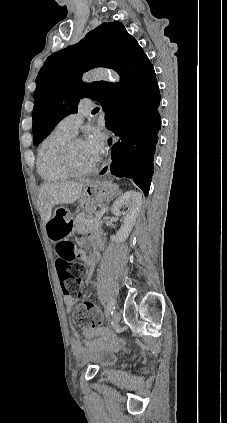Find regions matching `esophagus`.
Here are the masks:
<instances>
[{"label": "esophagus", "instance_id": "34e87169", "mask_svg": "<svg viewBox=\"0 0 227 423\" xmlns=\"http://www.w3.org/2000/svg\"><path fill=\"white\" fill-rule=\"evenodd\" d=\"M113 144H114V137L108 134L105 138L106 154H105L104 163L97 174L99 178L105 177L106 175L110 173L111 151H112Z\"/></svg>", "mask_w": 227, "mask_h": 423}]
</instances>
